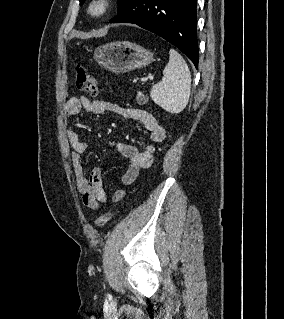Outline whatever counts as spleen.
<instances>
[{
  "instance_id": "obj_1",
  "label": "spleen",
  "mask_w": 284,
  "mask_h": 319,
  "mask_svg": "<svg viewBox=\"0 0 284 319\" xmlns=\"http://www.w3.org/2000/svg\"><path fill=\"white\" fill-rule=\"evenodd\" d=\"M163 79L150 92L152 100L170 113H179L187 105L191 75L183 57L174 49L169 51V62L163 70Z\"/></svg>"
}]
</instances>
